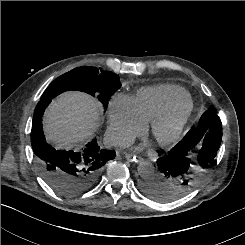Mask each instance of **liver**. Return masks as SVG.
<instances>
[{
    "label": "liver",
    "mask_w": 245,
    "mask_h": 245,
    "mask_svg": "<svg viewBox=\"0 0 245 245\" xmlns=\"http://www.w3.org/2000/svg\"><path fill=\"white\" fill-rule=\"evenodd\" d=\"M100 105L80 92H67L52 102L44 116L48 142L57 148L70 149L88 139L100 119Z\"/></svg>",
    "instance_id": "1"
}]
</instances>
